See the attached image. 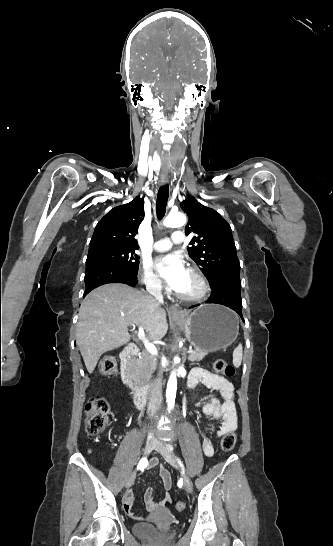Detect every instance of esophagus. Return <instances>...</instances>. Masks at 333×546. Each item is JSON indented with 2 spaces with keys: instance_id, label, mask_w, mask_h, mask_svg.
I'll use <instances>...</instances> for the list:
<instances>
[{
  "instance_id": "obj_1",
  "label": "esophagus",
  "mask_w": 333,
  "mask_h": 546,
  "mask_svg": "<svg viewBox=\"0 0 333 546\" xmlns=\"http://www.w3.org/2000/svg\"><path fill=\"white\" fill-rule=\"evenodd\" d=\"M167 182H168V175L167 174H162L160 176L159 184L162 186V185H165ZM169 313L172 316L182 315V311H181V309L179 308L178 305H171L170 308H169Z\"/></svg>"
}]
</instances>
